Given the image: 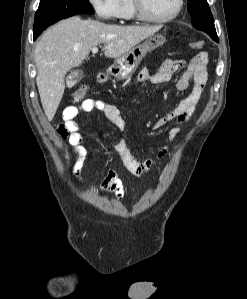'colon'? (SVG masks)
Here are the masks:
<instances>
[{"label":"colon","mask_w":247,"mask_h":299,"mask_svg":"<svg viewBox=\"0 0 247 299\" xmlns=\"http://www.w3.org/2000/svg\"><path fill=\"white\" fill-rule=\"evenodd\" d=\"M189 46L194 50H199L203 47V41L201 40L192 41L189 43ZM87 90H88L87 86L81 84L71 92V96L76 101L81 100L85 97Z\"/></svg>","instance_id":"5ec220e1"}]
</instances>
